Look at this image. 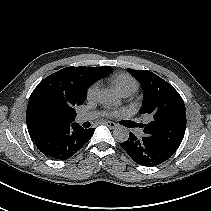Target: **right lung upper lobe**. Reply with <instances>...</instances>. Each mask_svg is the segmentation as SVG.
Instances as JSON below:
<instances>
[{"label":"right lung upper lobe","mask_w":211,"mask_h":211,"mask_svg":"<svg viewBox=\"0 0 211 211\" xmlns=\"http://www.w3.org/2000/svg\"><path fill=\"white\" fill-rule=\"evenodd\" d=\"M106 67H66L42 80L32 92L26 122L32 140L51 129L73 124L75 107L86 98L89 86L112 72Z\"/></svg>","instance_id":"right-lung-upper-lobe-1"}]
</instances>
